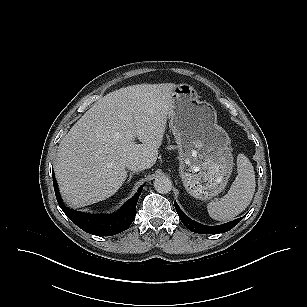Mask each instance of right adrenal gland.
Returning <instances> with one entry per match:
<instances>
[{
    "label": "right adrenal gland",
    "mask_w": 307,
    "mask_h": 307,
    "mask_svg": "<svg viewBox=\"0 0 307 307\" xmlns=\"http://www.w3.org/2000/svg\"><path fill=\"white\" fill-rule=\"evenodd\" d=\"M135 173H136V172L133 171V172H131V173L129 174V178H128V180H127V183H129V182L131 181L132 176H133V174H135Z\"/></svg>",
    "instance_id": "1"
}]
</instances>
